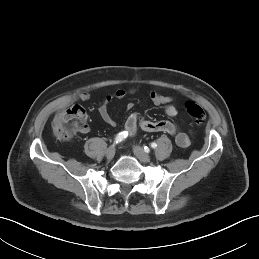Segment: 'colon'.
I'll return each instance as SVG.
<instances>
[{"instance_id": "1", "label": "colon", "mask_w": 259, "mask_h": 259, "mask_svg": "<svg viewBox=\"0 0 259 259\" xmlns=\"http://www.w3.org/2000/svg\"><path fill=\"white\" fill-rule=\"evenodd\" d=\"M185 110L196 123H203L205 112L197 103L187 101ZM86 119V112L82 106L78 104L67 106L54 119L53 129L55 135L63 141L70 139L76 131L81 130L86 125Z\"/></svg>"}]
</instances>
